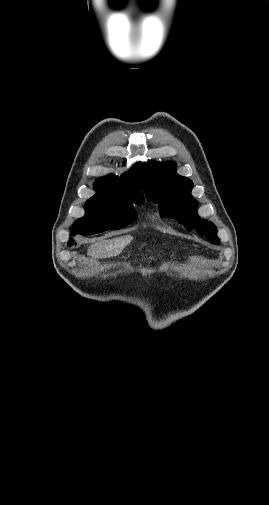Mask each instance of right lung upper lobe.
I'll list each match as a JSON object with an SVG mask.
<instances>
[{
  "label": "right lung upper lobe",
  "instance_id": "obj_1",
  "mask_svg": "<svg viewBox=\"0 0 269 505\" xmlns=\"http://www.w3.org/2000/svg\"><path fill=\"white\" fill-rule=\"evenodd\" d=\"M96 194L89 200H142V164L137 163L133 168L118 177L115 175L99 178L95 182Z\"/></svg>",
  "mask_w": 269,
  "mask_h": 505
}]
</instances>
